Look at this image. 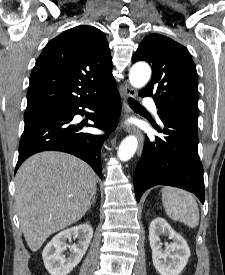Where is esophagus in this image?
<instances>
[{"mask_svg": "<svg viewBox=\"0 0 225 275\" xmlns=\"http://www.w3.org/2000/svg\"><path fill=\"white\" fill-rule=\"evenodd\" d=\"M136 95H137V92L134 88L130 87L127 84L123 87L122 97H123V106H124L125 117H128L130 114V108L128 106L127 99L129 97H135ZM127 131L136 134V136L138 138L137 154H138V156H140L142 154L143 146H144V136H143L142 132L133 126H128Z\"/></svg>", "mask_w": 225, "mask_h": 275, "instance_id": "34e87169", "label": "esophagus"}]
</instances>
